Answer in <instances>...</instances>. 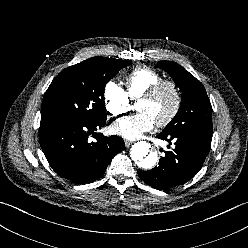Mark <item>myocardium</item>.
I'll return each instance as SVG.
<instances>
[{
  "instance_id": "1",
  "label": "myocardium",
  "mask_w": 248,
  "mask_h": 248,
  "mask_svg": "<svg viewBox=\"0 0 248 248\" xmlns=\"http://www.w3.org/2000/svg\"><path fill=\"white\" fill-rule=\"evenodd\" d=\"M164 87H170L173 91L175 102L170 113L156 124L157 127H165L170 124L178 115L182 106V94L179 86L173 80L162 79L151 86L141 97L140 100L153 99Z\"/></svg>"
}]
</instances>
